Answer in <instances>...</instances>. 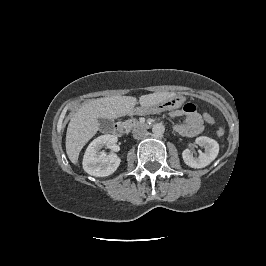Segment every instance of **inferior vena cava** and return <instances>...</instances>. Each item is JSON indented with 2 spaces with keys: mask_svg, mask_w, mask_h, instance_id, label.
Masks as SVG:
<instances>
[{
  "mask_svg": "<svg viewBox=\"0 0 266 266\" xmlns=\"http://www.w3.org/2000/svg\"><path fill=\"white\" fill-rule=\"evenodd\" d=\"M148 132L145 129L139 128V129H135L133 131V138L134 139H142L145 136H147Z\"/></svg>",
  "mask_w": 266,
  "mask_h": 266,
  "instance_id": "inferior-vena-cava-1",
  "label": "inferior vena cava"
}]
</instances>
